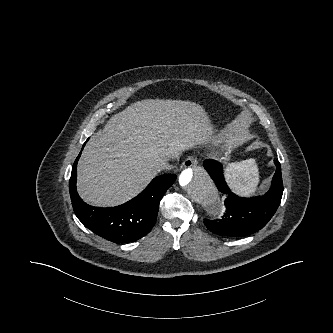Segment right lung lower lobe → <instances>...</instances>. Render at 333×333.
<instances>
[{
  "instance_id": "98d812e1",
  "label": "right lung lower lobe",
  "mask_w": 333,
  "mask_h": 333,
  "mask_svg": "<svg viewBox=\"0 0 333 333\" xmlns=\"http://www.w3.org/2000/svg\"><path fill=\"white\" fill-rule=\"evenodd\" d=\"M80 154L72 167L69 191L74 212L82 224L95 234L115 243L136 241L148 234L156 222L160 200L177 176L164 174L154 178L138 196L120 206L93 207L86 204L76 191L77 162Z\"/></svg>"
}]
</instances>
